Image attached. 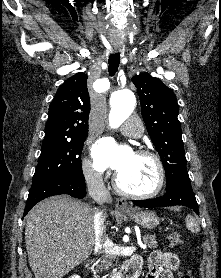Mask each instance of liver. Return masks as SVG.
<instances>
[{"label": "liver", "instance_id": "6515ba94", "mask_svg": "<svg viewBox=\"0 0 221 278\" xmlns=\"http://www.w3.org/2000/svg\"><path fill=\"white\" fill-rule=\"evenodd\" d=\"M96 208L69 196L38 203L26 217L25 243L35 278H63L95 244Z\"/></svg>", "mask_w": 221, "mask_h": 278}]
</instances>
